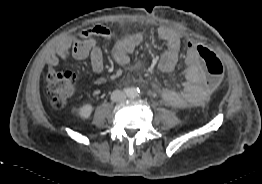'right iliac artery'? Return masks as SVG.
I'll return each mask as SVG.
<instances>
[{
	"label": "right iliac artery",
	"instance_id": "right-iliac-artery-1",
	"mask_svg": "<svg viewBox=\"0 0 262 184\" xmlns=\"http://www.w3.org/2000/svg\"><path fill=\"white\" fill-rule=\"evenodd\" d=\"M134 89H131V88H125L124 90H123V92L126 94V95H128V96H132L133 95V93H134Z\"/></svg>",
	"mask_w": 262,
	"mask_h": 184
}]
</instances>
